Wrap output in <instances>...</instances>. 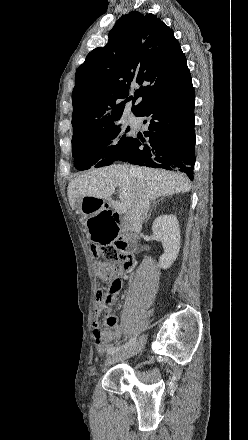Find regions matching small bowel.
<instances>
[{"label":"small bowel","instance_id":"1","mask_svg":"<svg viewBox=\"0 0 248 440\" xmlns=\"http://www.w3.org/2000/svg\"><path fill=\"white\" fill-rule=\"evenodd\" d=\"M115 274L117 276L122 275V271L124 270L122 267ZM105 308L99 305L98 303L94 306V320L92 323V332L93 337L95 339V348L98 354H104L106 350L111 348L112 341H118L121 336V328L117 323L116 316L111 312L107 311L105 317V323L107 328L102 329L98 318L100 313Z\"/></svg>","mask_w":248,"mask_h":440}]
</instances>
